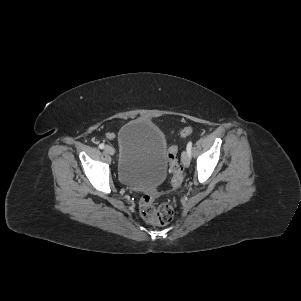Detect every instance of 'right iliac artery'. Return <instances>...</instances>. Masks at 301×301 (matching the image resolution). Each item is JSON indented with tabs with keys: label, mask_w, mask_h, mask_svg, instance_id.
Listing matches in <instances>:
<instances>
[{
	"label": "right iliac artery",
	"mask_w": 301,
	"mask_h": 301,
	"mask_svg": "<svg viewBox=\"0 0 301 301\" xmlns=\"http://www.w3.org/2000/svg\"><path fill=\"white\" fill-rule=\"evenodd\" d=\"M104 147H105V146H104L103 143L99 145V148H100V149H104Z\"/></svg>",
	"instance_id": "1"
}]
</instances>
